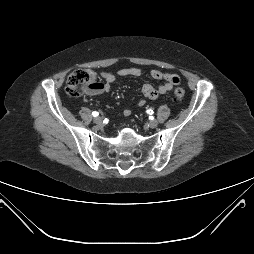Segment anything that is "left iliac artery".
Instances as JSON below:
<instances>
[{"label": "left iliac artery", "instance_id": "obj_1", "mask_svg": "<svg viewBox=\"0 0 254 254\" xmlns=\"http://www.w3.org/2000/svg\"><path fill=\"white\" fill-rule=\"evenodd\" d=\"M147 113L151 115V114H153V111L152 110H147Z\"/></svg>", "mask_w": 254, "mask_h": 254}]
</instances>
